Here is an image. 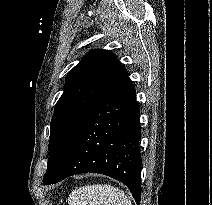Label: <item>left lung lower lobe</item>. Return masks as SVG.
I'll list each match as a JSON object with an SVG mask.
<instances>
[{
  "instance_id": "left-lung-lower-lobe-1",
  "label": "left lung lower lobe",
  "mask_w": 212,
  "mask_h": 205,
  "mask_svg": "<svg viewBox=\"0 0 212 205\" xmlns=\"http://www.w3.org/2000/svg\"><path fill=\"white\" fill-rule=\"evenodd\" d=\"M139 116L135 89L127 70L121 66L83 121L73 146L52 183L80 173L104 174L124 183L139 205Z\"/></svg>"
}]
</instances>
